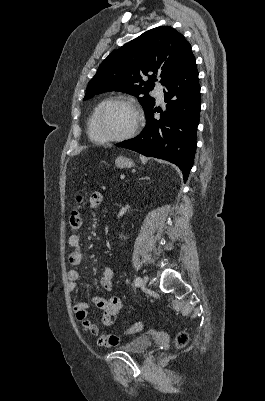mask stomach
<instances>
[{
  "mask_svg": "<svg viewBox=\"0 0 265 401\" xmlns=\"http://www.w3.org/2000/svg\"><path fill=\"white\" fill-rule=\"evenodd\" d=\"M115 164L117 168H132L134 166L132 158H126V156H117Z\"/></svg>",
  "mask_w": 265,
  "mask_h": 401,
  "instance_id": "0dacf381",
  "label": "stomach"
}]
</instances>
